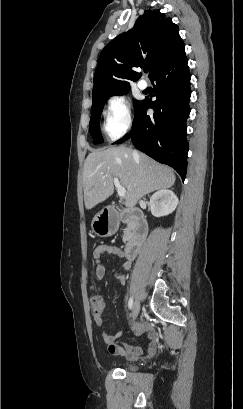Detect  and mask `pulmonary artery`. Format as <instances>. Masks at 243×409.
<instances>
[{
  "instance_id": "e3ab8cb5",
  "label": "pulmonary artery",
  "mask_w": 243,
  "mask_h": 409,
  "mask_svg": "<svg viewBox=\"0 0 243 409\" xmlns=\"http://www.w3.org/2000/svg\"><path fill=\"white\" fill-rule=\"evenodd\" d=\"M138 87H139L141 90L146 89V88L148 87L147 81L141 79V80L138 82Z\"/></svg>"
}]
</instances>
